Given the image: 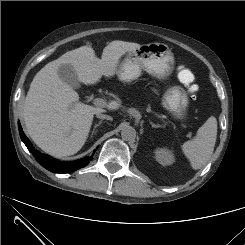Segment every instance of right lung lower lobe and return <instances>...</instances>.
<instances>
[{"mask_svg": "<svg viewBox=\"0 0 245 245\" xmlns=\"http://www.w3.org/2000/svg\"><path fill=\"white\" fill-rule=\"evenodd\" d=\"M18 128H19L20 137L22 141L24 142V144L26 145V147L28 148V150L34 155L35 159L40 165H42L44 168H46L47 170L51 172L68 173V172L76 171L80 168L87 166L89 162L92 160V156L94 155L93 153L91 157H86V158L79 159L73 162L58 161L48 155L40 153L38 150H36L32 146L29 139L25 136L21 128L20 122H18Z\"/></svg>", "mask_w": 245, "mask_h": 245, "instance_id": "obj_1", "label": "right lung lower lobe"}]
</instances>
